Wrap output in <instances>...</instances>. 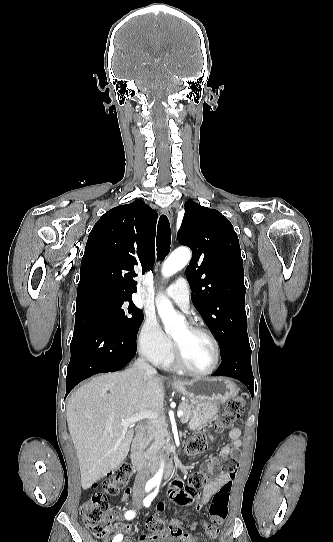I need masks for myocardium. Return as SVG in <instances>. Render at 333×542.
Here are the masks:
<instances>
[{
	"instance_id": "1",
	"label": "myocardium",
	"mask_w": 333,
	"mask_h": 542,
	"mask_svg": "<svg viewBox=\"0 0 333 542\" xmlns=\"http://www.w3.org/2000/svg\"><path fill=\"white\" fill-rule=\"evenodd\" d=\"M188 328L192 332L204 335L205 337H207L212 342L213 347H214V352H215V358H214V362H213L212 366L210 368H208L207 370H204V371H196V370L191 369L184 362V360L182 359V357L180 355V352H179L178 348L176 347L174 342H172L171 340H170V350H169L170 358L173 361V363L181 371H183V372H185V373H187L189 375H192V376H207V375H210L217 369V367L219 366V363H220V359H221L220 344H219L218 340L216 339V337L213 335V333L211 331H209L208 329H206V328H204V327H202V326H200L198 324H191V325L188 326Z\"/></svg>"
}]
</instances>
